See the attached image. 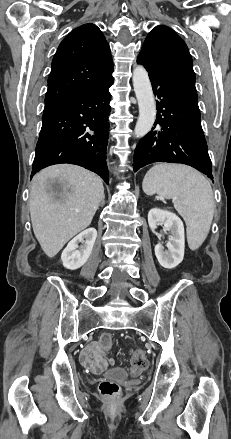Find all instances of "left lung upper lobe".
<instances>
[{
  "label": "left lung upper lobe",
  "instance_id": "obj_1",
  "mask_svg": "<svg viewBox=\"0 0 231 439\" xmlns=\"http://www.w3.org/2000/svg\"><path fill=\"white\" fill-rule=\"evenodd\" d=\"M139 55L146 56L162 72L197 98L191 55L185 42L171 28L164 25L153 28Z\"/></svg>",
  "mask_w": 231,
  "mask_h": 439
}]
</instances>
